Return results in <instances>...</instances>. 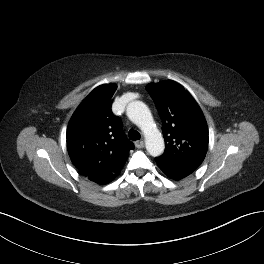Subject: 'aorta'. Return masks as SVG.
Returning <instances> with one entry per match:
<instances>
[{
	"label": "aorta",
	"mask_w": 264,
	"mask_h": 264,
	"mask_svg": "<svg viewBox=\"0 0 264 264\" xmlns=\"http://www.w3.org/2000/svg\"><path fill=\"white\" fill-rule=\"evenodd\" d=\"M127 116L144 133L148 153L154 157L164 152V139L154 123L152 114L141 101H133L127 106Z\"/></svg>",
	"instance_id": "1"
}]
</instances>
